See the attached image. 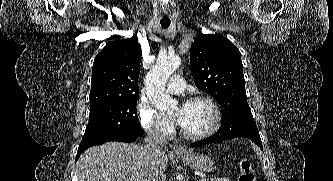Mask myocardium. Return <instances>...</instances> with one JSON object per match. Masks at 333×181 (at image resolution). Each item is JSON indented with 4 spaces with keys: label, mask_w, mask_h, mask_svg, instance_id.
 Masks as SVG:
<instances>
[{
    "label": "myocardium",
    "mask_w": 333,
    "mask_h": 181,
    "mask_svg": "<svg viewBox=\"0 0 333 181\" xmlns=\"http://www.w3.org/2000/svg\"><path fill=\"white\" fill-rule=\"evenodd\" d=\"M195 102H205L209 106L212 114L211 124L207 129L199 133H189L185 131L183 128L181 129V133L187 139L201 140L211 136L213 133H215L218 130L220 126L221 115H220L219 106L212 97L206 95H196L189 98L186 101V104L195 103Z\"/></svg>",
    "instance_id": "obj_1"
}]
</instances>
